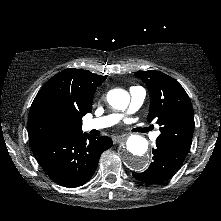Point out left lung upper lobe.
Returning a JSON list of instances; mask_svg holds the SVG:
<instances>
[{
  "label": "left lung upper lobe",
  "instance_id": "left-lung-upper-lobe-1",
  "mask_svg": "<svg viewBox=\"0 0 221 221\" xmlns=\"http://www.w3.org/2000/svg\"><path fill=\"white\" fill-rule=\"evenodd\" d=\"M150 91L148 121L156 120L161 134L156 146L164 150L179 166L188 154L194 131L191 101L183 87L172 77L158 71H138Z\"/></svg>",
  "mask_w": 221,
  "mask_h": 221
}]
</instances>
